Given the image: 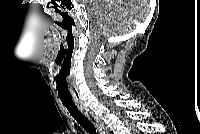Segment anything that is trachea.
Masks as SVG:
<instances>
[{
  "label": "trachea",
  "instance_id": "1",
  "mask_svg": "<svg viewBox=\"0 0 200 134\" xmlns=\"http://www.w3.org/2000/svg\"><path fill=\"white\" fill-rule=\"evenodd\" d=\"M64 106L70 112L72 117L77 121L78 124L89 134H95L96 129L94 125L85 117L81 111L77 108V106L72 101H62Z\"/></svg>",
  "mask_w": 200,
  "mask_h": 134
}]
</instances>
